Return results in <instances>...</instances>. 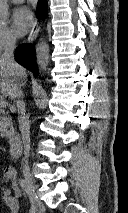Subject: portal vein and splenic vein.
<instances>
[{"mask_svg":"<svg viewBox=\"0 0 128 213\" xmlns=\"http://www.w3.org/2000/svg\"><path fill=\"white\" fill-rule=\"evenodd\" d=\"M7 105H8L7 100H5V99L0 100V108H5V107H7Z\"/></svg>","mask_w":128,"mask_h":213,"instance_id":"obj_1","label":"portal vein and splenic vein"}]
</instances>
